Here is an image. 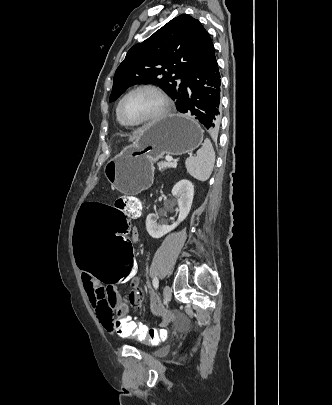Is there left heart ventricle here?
Instances as JSON below:
<instances>
[{"instance_id":"b2bd125f","label":"left heart ventricle","mask_w":332,"mask_h":405,"mask_svg":"<svg viewBox=\"0 0 332 405\" xmlns=\"http://www.w3.org/2000/svg\"><path fill=\"white\" fill-rule=\"evenodd\" d=\"M160 106V99L154 92L139 90L124 100L122 113L127 120L135 122L151 117Z\"/></svg>"}]
</instances>
